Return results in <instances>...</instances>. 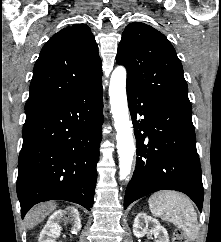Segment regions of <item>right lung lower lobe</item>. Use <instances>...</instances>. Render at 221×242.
Masks as SVG:
<instances>
[{
	"instance_id": "1",
	"label": "right lung lower lobe",
	"mask_w": 221,
	"mask_h": 242,
	"mask_svg": "<svg viewBox=\"0 0 221 242\" xmlns=\"http://www.w3.org/2000/svg\"><path fill=\"white\" fill-rule=\"evenodd\" d=\"M101 76L61 100L25 109L17 178L22 218L42 201L93 206L103 123Z\"/></svg>"
}]
</instances>
